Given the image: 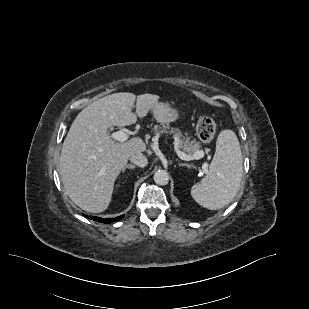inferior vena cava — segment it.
<instances>
[{
	"label": "inferior vena cava",
	"mask_w": 309,
	"mask_h": 309,
	"mask_svg": "<svg viewBox=\"0 0 309 309\" xmlns=\"http://www.w3.org/2000/svg\"><path fill=\"white\" fill-rule=\"evenodd\" d=\"M130 161L139 167H145L148 163L146 156L142 153H135L131 155Z\"/></svg>",
	"instance_id": "inferior-vena-cava-1"
}]
</instances>
